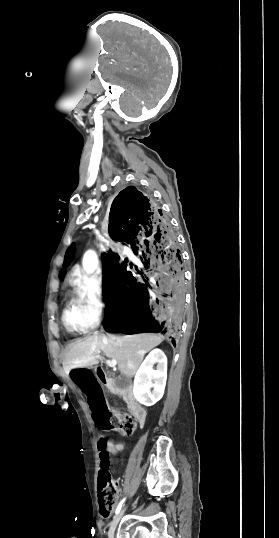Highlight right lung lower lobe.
Here are the masks:
<instances>
[{
	"label": "right lung lower lobe",
	"mask_w": 279,
	"mask_h": 538,
	"mask_svg": "<svg viewBox=\"0 0 279 538\" xmlns=\"http://www.w3.org/2000/svg\"><path fill=\"white\" fill-rule=\"evenodd\" d=\"M109 234L130 244L138 261L128 271L126 261L104 254V329L175 334L185 311V278L175 235L159 205L127 187L112 203Z\"/></svg>",
	"instance_id": "obj_1"
}]
</instances>
